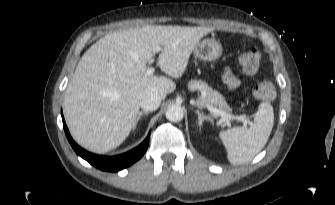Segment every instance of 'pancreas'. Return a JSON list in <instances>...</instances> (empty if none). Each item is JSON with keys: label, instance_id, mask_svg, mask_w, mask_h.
Segmentation results:
<instances>
[{"label": "pancreas", "instance_id": "cf45deb5", "mask_svg": "<svg viewBox=\"0 0 335 205\" xmlns=\"http://www.w3.org/2000/svg\"><path fill=\"white\" fill-rule=\"evenodd\" d=\"M188 88L191 91L201 92V96L197 100V105L206 107V105L209 104L230 114L231 108L227 105L225 98L218 91L209 87L206 82L194 79L188 83Z\"/></svg>", "mask_w": 335, "mask_h": 205}]
</instances>
